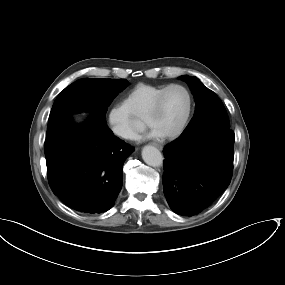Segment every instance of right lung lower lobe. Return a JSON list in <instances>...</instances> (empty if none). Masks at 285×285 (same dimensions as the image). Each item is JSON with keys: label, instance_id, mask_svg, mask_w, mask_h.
Here are the masks:
<instances>
[{"label": "right lung lower lobe", "instance_id": "1", "mask_svg": "<svg viewBox=\"0 0 285 285\" xmlns=\"http://www.w3.org/2000/svg\"><path fill=\"white\" fill-rule=\"evenodd\" d=\"M49 185L67 206L82 213L109 210L122 188L123 164L134 148L116 138L98 116L81 125L71 119L44 143Z\"/></svg>", "mask_w": 285, "mask_h": 285}]
</instances>
